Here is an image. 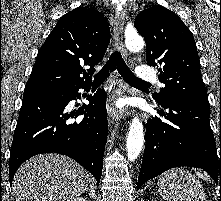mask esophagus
I'll list each match as a JSON object with an SVG mask.
<instances>
[{"label": "esophagus", "mask_w": 221, "mask_h": 201, "mask_svg": "<svg viewBox=\"0 0 221 201\" xmlns=\"http://www.w3.org/2000/svg\"><path fill=\"white\" fill-rule=\"evenodd\" d=\"M124 23H125L124 11L116 10L115 22H114V42L115 45L119 47L122 54L126 57L127 54L123 44ZM126 90H127L126 85L121 81V79L117 77L116 74L114 88L107 104V113L111 123H114V121L124 118V110L115 108L113 102L117 96L124 94Z\"/></svg>", "instance_id": "34e87169"}]
</instances>
